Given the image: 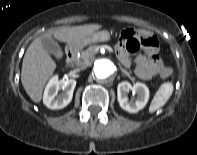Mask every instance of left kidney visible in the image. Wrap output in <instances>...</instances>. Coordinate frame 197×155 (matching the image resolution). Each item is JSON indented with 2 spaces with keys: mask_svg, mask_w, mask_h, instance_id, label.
I'll use <instances>...</instances> for the list:
<instances>
[{
  "mask_svg": "<svg viewBox=\"0 0 197 155\" xmlns=\"http://www.w3.org/2000/svg\"><path fill=\"white\" fill-rule=\"evenodd\" d=\"M130 90L137 94L135 102L128 100L127 94ZM117 99L122 109L130 113H136L146 106L149 100V89L145 84L140 82L132 86L129 82L123 81L118 84Z\"/></svg>",
  "mask_w": 197,
  "mask_h": 155,
  "instance_id": "left-kidney-1",
  "label": "left kidney"
}]
</instances>
